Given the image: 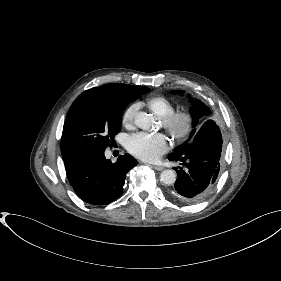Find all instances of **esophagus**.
Returning <instances> with one entry per match:
<instances>
[{
  "label": "esophagus",
  "mask_w": 281,
  "mask_h": 281,
  "mask_svg": "<svg viewBox=\"0 0 281 281\" xmlns=\"http://www.w3.org/2000/svg\"><path fill=\"white\" fill-rule=\"evenodd\" d=\"M152 168H154V169L157 170V171H162V170H164V167H162V166H152Z\"/></svg>",
  "instance_id": "esophagus-1"
}]
</instances>
